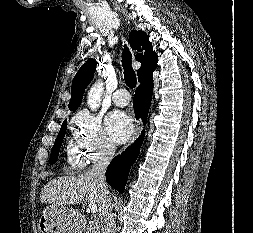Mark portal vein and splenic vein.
<instances>
[{"instance_id":"obj_1","label":"portal vein and splenic vein","mask_w":253,"mask_h":233,"mask_svg":"<svg viewBox=\"0 0 253 233\" xmlns=\"http://www.w3.org/2000/svg\"><path fill=\"white\" fill-rule=\"evenodd\" d=\"M89 209L92 213H96L97 212V205L92 203L89 205Z\"/></svg>"}]
</instances>
